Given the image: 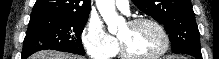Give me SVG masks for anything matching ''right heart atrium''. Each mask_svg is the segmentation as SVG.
Listing matches in <instances>:
<instances>
[{
    "mask_svg": "<svg viewBox=\"0 0 219 59\" xmlns=\"http://www.w3.org/2000/svg\"><path fill=\"white\" fill-rule=\"evenodd\" d=\"M82 44L87 55L92 59H107L114 55L117 43L104 28L100 20L90 18L82 36Z\"/></svg>",
    "mask_w": 219,
    "mask_h": 59,
    "instance_id": "obj_1",
    "label": "right heart atrium"
}]
</instances>
